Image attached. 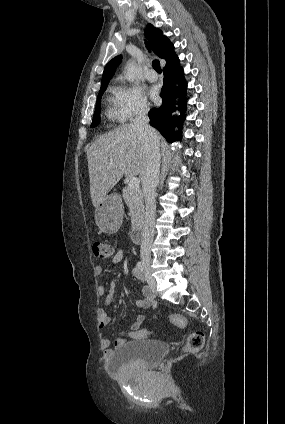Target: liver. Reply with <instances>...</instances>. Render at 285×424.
<instances>
[{"mask_svg":"<svg viewBox=\"0 0 285 424\" xmlns=\"http://www.w3.org/2000/svg\"><path fill=\"white\" fill-rule=\"evenodd\" d=\"M155 132L160 146L163 138ZM87 160L91 200L97 207L123 175L142 181L147 166L144 139L132 124L122 125L92 143Z\"/></svg>","mask_w":285,"mask_h":424,"instance_id":"liver-1","label":"liver"}]
</instances>
